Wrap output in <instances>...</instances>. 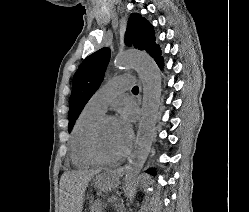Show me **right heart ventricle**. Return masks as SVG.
Instances as JSON below:
<instances>
[{"label": "right heart ventricle", "mask_w": 249, "mask_h": 212, "mask_svg": "<svg viewBox=\"0 0 249 212\" xmlns=\"http://www.w3.org/2000/svg\"><path fill=\"white\" fill-rule=\"evenodd\" d=\"M103 113L89 102L79 112L69 137V158L74 167L83 169L96 164L87 154L85 141L91 125Z\"/></svg>", "instance_id": "right-heart-ventricle-1"}]
</instances>
